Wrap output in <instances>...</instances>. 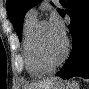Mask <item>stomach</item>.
I'll list each match as a JSON object with an SVG mask.
<instances>
[{"label": "stomach", "instance_id": "0dacf381", "mask_svg": "<svg viewBox=\"0 0 89 89\" xmlns=\"http://www.w3.org/2000/svg\"><path fill=\"white\" fill-rule=\"evenodd\" d=\"M74 86L69 85L68 83L57 82L55 83L51 89H73Z\"/></svg>", "mask_w": 89, "mask_h": 89}]
</instances>
